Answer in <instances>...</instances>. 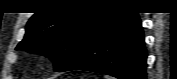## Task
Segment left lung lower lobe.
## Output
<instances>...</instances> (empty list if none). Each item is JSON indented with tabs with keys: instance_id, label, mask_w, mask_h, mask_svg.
Returning <instances> with one entry per match:
<instances>
[{
	"instance_id": "0a47b994",
	"label": "left lung lower lobe",
	"mask_w": 177,
	"mask_h": 79,
	"mask_svg": "<svg viewBox=\"0 0 177 79\" xmlns=\"http://www.w3.org/2000/svg\"><path fill=\"white\" fill-rule=\"evenodd\" d=\"M146 58L138 14L109 11L59 71L86 70L119 79H145Z\"/></svg>"
}]
</instances>
